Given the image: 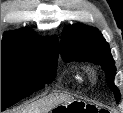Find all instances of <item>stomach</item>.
Segmentation results:
<instances>
[{"mask_svg": "<svg viewBox=\"0 0 123 113\" xmlns=\"http://www.w3.org/2000/svg\"><path fill=\"white\" fill-rule=\"evenodd\" d=\"M86 106L87 104L81 100H71L69 102L57 105L53 108V112H83V110H86Z\"/></svg>", "mask_w": 123, "mask_h": 113, "instance_id": "0dacf381", "label": "stomach"}]
</instances>
